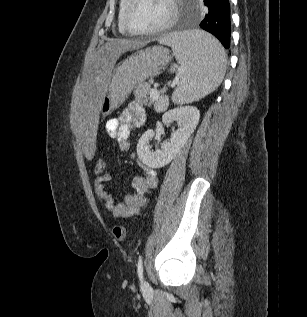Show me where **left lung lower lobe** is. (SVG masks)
Instances as JSON below:
<instances>
[{
	"label": "left lung lower lobe",
	"instance_id": "1",
	"mask_svg": "<svg viewBox=\"0 0 307 317\" xmlns=\"http://www.w3.org/2000/svg\"><path fill=\"white\" fill-rule=\"evenodd\" d=\"M205 17L199 26L213 34L224 46L230 47L231 21L229 0H204Z\"/></svg>",
	"mask_w": 307,
	"mask_h": 317
}]
</instances>
